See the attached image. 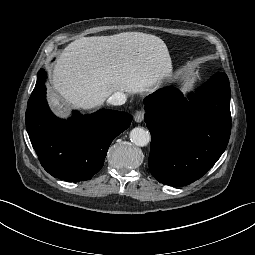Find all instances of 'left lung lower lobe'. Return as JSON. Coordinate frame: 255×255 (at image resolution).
Listing matches in <instances>:
<instances>
[{
	"instance_id": "0a47b994",
	"label": "left lung lower lobe",
	"mask_w": 255,
	"mask_h": 255,
	"mask_svg": "<svg viewBox=\"0 0 255 255\" xmlns=\"http://www.w3.org/2000/svg\"><path fill=\"white\" fill-rule=\"evenodd\" d=\"M189 99L174 87L145 98L151 133L149 171L161 183L186 186L217 162L230 137V86L225 73L215 74Z\"/></svg>"
}]
</instances>
